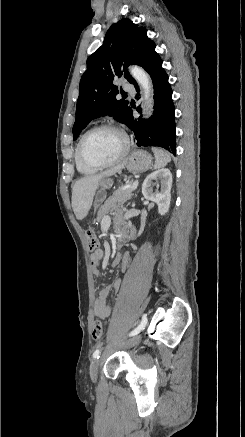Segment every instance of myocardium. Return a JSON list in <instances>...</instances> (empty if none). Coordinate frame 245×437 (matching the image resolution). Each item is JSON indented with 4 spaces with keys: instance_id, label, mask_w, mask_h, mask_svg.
<instances>
[{
    "instance_id": "f54148a6",
    "label": "myocardium",
    "mask_w": 245,
    "mask_h": 437,
    "mask_svg": "<svg viewBox=\"0 0 245 437\" xmlns=\"http://www.w3.org/2000/svg\"><path fill=\"white\" fill-rule=\"evenodd\" d=\"M99 130L116 131L117 133H119L121 135V137L123 138V141H124V147H123V150L120 153V155L109 162L91 161L85 156V154L83 152V143H84L85 139L90 134H92L96 131H99ZM130 147H131L130 139H129L127 133L121 127L114 125V124H111V123H102V124H98V125L91 127L90 129H88L86 132L83 133V135L80 137L78 144H77V152H78L80 159L82 160V162L84 164H86L90 167L96 168V169H103V168L112 167V166L122 162L127 157L128 153L130 151Z\"/></svg>"
}]
</instances>
